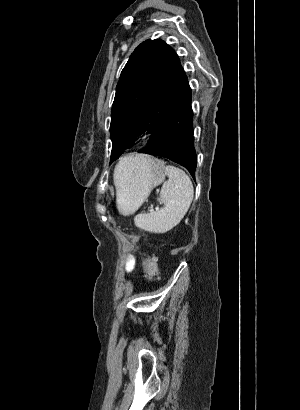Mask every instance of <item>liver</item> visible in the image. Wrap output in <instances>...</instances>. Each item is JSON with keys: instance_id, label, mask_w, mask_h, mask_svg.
I'll use <instances>...</instances> for the list:
<instances>
[{"instance_id": "1", "label": "liver", "mask_w": 300, "mask_h": 410, "mask_svg": "<svg viewBox=\"0 0 300 410\" xmlns=\"http://www.w3.org/2000/svg\"><path fill=\"white\" fill-rule=\"evenodd\" d=\"M132 157H134V159H135L136 161H140V160L145 159V155H133ZM116 184H117V182L115 183V185H116ZM116 189L118 190L119 187L116 186Z\"/></svg>"}]
</instances>
